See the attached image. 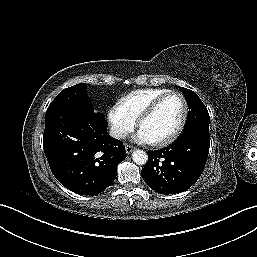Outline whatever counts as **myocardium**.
<instances>
[{
  "label": "myocardium",
  "mask_w": 257,
  "mask_h": 257,
  "mask_svg": "<svg viewBox=\"0 0 257 257\" xmlns=\"http://www.w3.org/2000/svg\"><path fill=\"white\" fill-rule=\"evenodd\" d=\"M172 95H177L180 97L182 104H183V114H182L181 120H180L176 130L171 135H169L168 137H166L164 139H161V140H158L155 142H151L152 145L157 146V147H162V146L171 144L182 133V131L186 125L188 113H189L188 102H187L185 96L179 91H169V92L165 93L164 95L158 97L155 101H153L137 119V127L140 129L141 124L155 113V111L163 103V101H165L168 97H170Z\"/></svg>",
  "instance_id": "1"
}]
</instances>
